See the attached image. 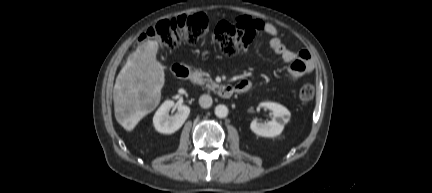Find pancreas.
Wrapping results in <instances>:
<instances>
[{
    "mask_svg": "<svg viewBox=\"0 0 432 193\" xmlns=\"http://www.w3.org/2000/svg\"><path fill=\"white\" fill-rule=\"evenodd\" d=\"M205 77V78H204ZM196 82L200 85H203L206 83V88L208 90H215L218 87V84H216L211 78L210 75L206 72H197V80Z\"/></svg>",
    "mask_w": 432,
    "mask_h": 193,
    "instance_id": "1",
    "label": "pancreas"
}]
</instances>
